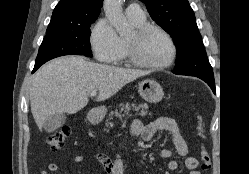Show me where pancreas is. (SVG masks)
Segmentation results:
<instances>
[{"label": "pancreas", "instance_id": "pancreas-1", "mask_svg": "<svg viewBox=\"0 0 249 174\" xmlns=\"http://www.w3.org/2000/svg\"><path fill=\"white\" fill-rule=\"evenodd\" d=\"M119 108L120 110H115V111H112L110 114H109V119H113V117H121V113L124 112L123 116L126 115V116H131V113H130V110H134L136 112L140 111L141 115H144L146 113V111H144L145 109H147V106L145 104H139V105H136L135 103H126V104H123L121 103L119 105ZM113 126V123L112 122H108L106 123V127H112Z\"/></svg>", "mask_w": 249, "mask_h": 174}]
</instances>
